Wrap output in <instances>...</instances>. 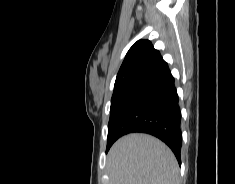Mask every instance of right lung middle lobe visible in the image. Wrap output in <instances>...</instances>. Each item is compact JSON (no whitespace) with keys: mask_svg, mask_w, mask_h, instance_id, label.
I'll use <instances>...</instances> for the list:
<instances>
[{"mask_svg":"<svg viewBox=\"0 0 235 184\" xmlns=\"http://www.w3.org/2000/svg\"><path fill=\"white\" fill-rule=\"evenodd\" d=\"M126 92V88L124 89H119V90H114L113 95H112V99H111V107H110V120L113 118L115 111L117 110V107L124 95V93ZM114 140H113V136L111 134V132L109 131V127H108V139H107V148H106V152H108L109 148L111 147V145L113 144Z\"/></svg>","mask_w":235,"mask_h":184,"instance_id":"dd1d6c3e","label":"right lung middle lobe"}]
</instances>
